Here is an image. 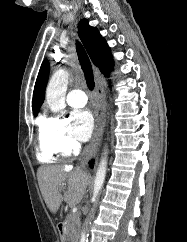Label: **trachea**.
<instances>
[{"label": "trachea", "instance_id": "3493384b", "mask_svg": "<svg viewBox=\"0 0 187 242\" xmlns=\"http://www.w3.org/2000/svg\"><path fill=\"white\" fill-rule=\"evenodd\" d=\"M76 50H77L81 68L84 72L87 86H88L89 90L92 91L95 87V82H94V78H93L91 62L89 60V57H88L84 47L81 45L80 42L76 43Z\"/></svg>", "mask_w": 187, "mask_h": 242}]
</instances>
